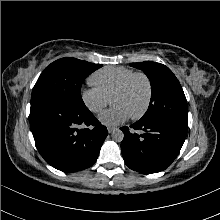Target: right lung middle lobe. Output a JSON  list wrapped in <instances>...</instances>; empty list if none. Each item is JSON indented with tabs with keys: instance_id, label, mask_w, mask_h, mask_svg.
Instances as JSON below:
<instances>
[{
	"instance_id": "1",
	"label": "right lung middle lobe",
	"mask_w": 220,
	"mask_h": 220,
	"mask_svg": "<svg viewBox=\"0 0 220 220\" xmlns=\"http://www.w3.org/2000/svg\"><path fill=\"white\" fill-rule=\"evenodd\" d=\"M101 64L89 63L72 57L54 61L39 76L31 99L54 98L76 107H86L81 97V85Z\"/></svg>"
}]
</instances>
